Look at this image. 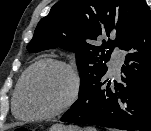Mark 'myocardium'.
<instances>
[{
	"label": "myocardium",
	"instance_id": "myocardium-1",
	"mask_svg": "<svg viewBox=\"0 0 151 131\" xmlns=\"http://www.w3.org/2000/svg\"><path fill=\"white\" fill-rule=\"evenodd\" d=\"M45 66H56L66 72L70 81L69 92L65 100L54 110L43 114H25L20 107L21 97L29 76L37 69ZM81 90V79L78 72L69 63L54 58L38 61L31 65L22 75L14 98V110L18 117L30 120H45L54 118L67 111L78 99Z\"/></svg>",
	"mask_w": 151,
	"mask_h": 131
}]
</instances>
